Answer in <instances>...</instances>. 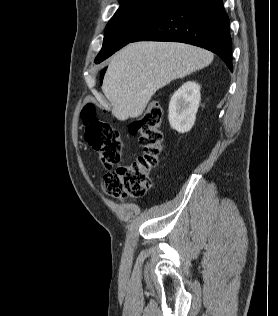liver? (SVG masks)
Returning a JSON list of instances; mask_svg holds the SVG:
<instances>
[{
    "label": "liver",
    "instance_id": "liver-1",
    "mask_svg": "<svg viewBox=\"0 0 278 316\" xmlns=\"http://www.w3.org/2000/svg\"><path fill=\"white\" fill-rule=\"evenodd\" d=\"M212 61L211 52L183 43H131L111 59L102 91L117 119L137 118L156 91Z\"/></svg>",
    "mask_w": 278,
    "mask_h": 316
}]
</instances>
